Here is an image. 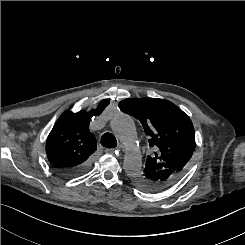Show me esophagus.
<instances>
[{"label":"esophagus","instance_id":"34e87169","mask_svg":"<svg viewBox=\"0 0 245 245\" xmlns=\"http://www.w3.org/2000/svg\"><path fill=\"white\" fill-rule=\"evenodd\" d=\"M105 153H107V154H113V153H115V149H113V148H107V149H105Z\"/></svg>","mask_w":245,"mask_h":245}]
</instances>
